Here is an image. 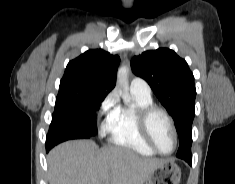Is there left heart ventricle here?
Masks as SVG:
<instances>
[{"mask_svg":"<svg viewBox=\"0 0 235 184\" xmlns=\"http://www.w3.org/2000/svg\"><path fill=\"white\" fill-rule=\"evenodd\" d=\"M151 128L153 139L158 149L165 154L171 153L175 146V139L170 126L162 114L156 113L153 116Z\"/></svg>","mask_w":235,"mask_h":184,"instance_id":"1","label":"left heart ventricle"}]
</instances>
